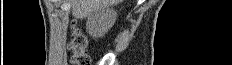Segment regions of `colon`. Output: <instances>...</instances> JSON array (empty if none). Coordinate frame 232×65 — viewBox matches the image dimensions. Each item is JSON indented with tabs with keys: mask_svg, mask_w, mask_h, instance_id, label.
Listing matches in <instances>:
<instances>
[{
	"mask_svg": "<svg viewBox=\"0 0 232 65\" xmlns=\"http://www.w3.org/2000/svg\"><path fill=\"white\" fill-rule=\"evenodd\" d=\"M68 48L71 51L72 64L90 65V57L87 54V38L80 30L73 31Z\"/></svg>",
	"mask_w": 232,
	"mask_h": 65,
	"instance_id": "1",
	"label": "colon"
}]
</instances>
